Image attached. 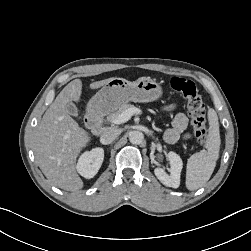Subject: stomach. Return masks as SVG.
Returning <instances> with one entry per match:
<instances>
[{
	"instance_id": "0dacf381",
	"label": "stomach",
	"mask_w": 251,
	"mask_h": 251,
	"mask_svg": "<svg viewBox=\"0 0 251 251\" xmlns=\"http://www.w3.org/2000/svg\"><path fill=\"white\" fill-rule=\"evenodd\" d=\"M162 95L163 89L154 78L141 77L133 82L123 78H114L90 99L87 110L92 114H103L129 101L152 102L161 98Z\"/></svg>"
}]
</instances>
